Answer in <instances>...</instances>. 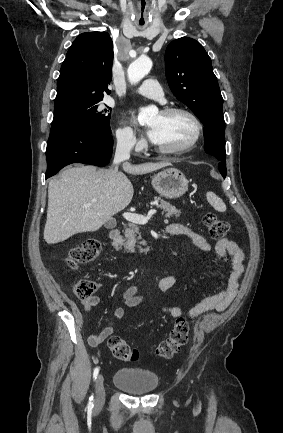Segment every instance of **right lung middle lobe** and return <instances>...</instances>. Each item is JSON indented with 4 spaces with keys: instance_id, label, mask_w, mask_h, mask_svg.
<instances>
[{
    "instance_id": "dd1d6c3e",
    "label": "right lung middle lobe",
    "mask_w": 283,
    "mask_h": 433,
    "mask_svg": "<svg viewBox=\"0 0 283 433\" xmlns=\"http://www.w3.org/2000/svg\"><path fill=\"white\" fill-rule=\"evenodd\" d=\"M101 101L83 103L54 112L51 128L84 126L110 134L111 108L106 106L107 108L103 109Z\"/></svg>"
}]
</instances>
